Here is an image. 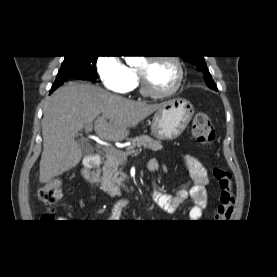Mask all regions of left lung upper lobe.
Returning a JSON list of instances; mask_svg holds the SVG:
<instances>
[{
	"mask_svg": "<svg viewBox=\"0 0 277 277\" xmlns=\"http://www.w3.org/2000/svg\"><path fill=\"white\" fill-rule=\"evenodd\" d=\"M183 59L191 62L192 64L196 65V67L203 72L204 79L206 81V84L213 90H217V86L212 80L211 74L207 68V65L205 63V59L203 56H181Z\"/></svg>",
	"mask_w": 277,
	"mask_h": 277,
	"instance_id": "1",
	"label": "left lung upper lobe"
}]
</instances>
